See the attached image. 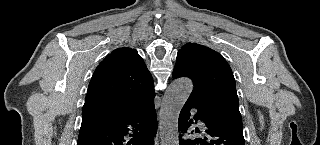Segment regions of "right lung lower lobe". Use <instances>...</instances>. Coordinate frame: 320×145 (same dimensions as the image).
I'll return each instance as SVG.
<instances>
[{"mask_svg":"<svg viewBox=\"0 0 320 145\" xmlns=\"http://www.w3.org/2000/svg\"><path fill=\"white\" fill-rule=\"evenodd\" d=\"M157 117L154 98L126 117L81 125L77 145H154ZM125 136L132 137L130 140Z\"/></svg>","mask_w":320,"mask_h":145,"instance_id":"1","label":"right lung lower lobe"}]
</instances>
